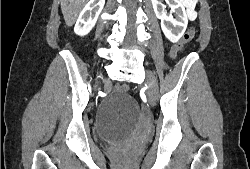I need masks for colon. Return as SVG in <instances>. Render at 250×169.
Here are the masks:
<instances>
[{"instance_id":"obj_1","label":"colon","mask_w":250,"mask_h":169,"mask_svg":"<svg viewBox=\"0 0 250 169\" xmlns=\"http://www.w3.org/2000/svg\"><path fill=\"white\" fill-rule=\"evenodd\" d=\"M190 29L191 30H188V32L184 33L182 35V37L175 44H172V46H171L172 49H170V51H169L170 52V56H169L170 58L175 59L176 56L180 53V51L183 50L184 46L186 44H188L189 40L191 38H194V30H193L194 28L191 27ZM120 89L121 90H129L130 86L129 85H121ZM120 154H121L120 159L124 160L125 159V156H124L125 151L121 150Z\"/></svg>"}]
</instances>
